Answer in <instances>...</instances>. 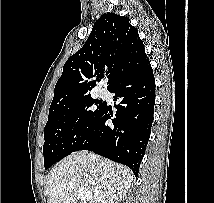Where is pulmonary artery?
Masks as SVG:
<instances>
[{"instance_id":"pulmonary-artery-1","label":"pulmonary artery","mask_w":214,"mask_h":203,"mask_svg":"<svg viewBox=\"0 0 214 203\" xmlns=\"http://www.w3.org/2000/svg\"><path fill=\"white\" fill-rule=\"evenodd\" d=\"M100 95H101V96L104 95V91H103V90L100 91Z\"/></svg>"}]
</instances>
